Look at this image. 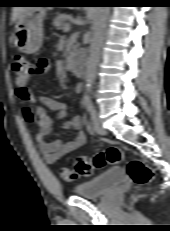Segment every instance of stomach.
Listing matches in <instances>:
<instances>
[{
	"label": "stomach",
	"instance_id": "stomach-1",
	"mask_svg": "<svg viewBox=\"0 0 170 231\" xmlns=\"http://www.w3.org/2000/svg\"><path fill=\"white\" fill-rule=\"evenodd\" d=\"M46 10L42 7H29L17 19L13 38L18 49L32 54L42 45L44 31L43 20Z\"/></svg>",
	"mask_w": 170,
	"mask_h": 231
}]
</instances>
